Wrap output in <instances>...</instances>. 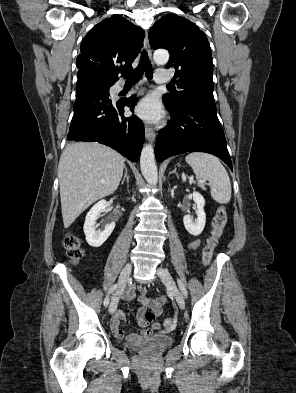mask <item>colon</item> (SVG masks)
Masks as SVG:
<instances>
[{
	"instance_id": "colon-1",
	"label": "colon",
	"mask_w": 296,
	"mask_h": 393,
	"mask_svg": "<svg viewBox=\"0 0 296 393\" xmlns=\"http://www.w3.org/2000/svg\"><path fill=\"white\" fill-rule=\"evenodd\" d=\"M227 223V212L225 207L219 206L216 210L215 217L212 222V230H211V235L208 238L207 244L203 249V262L205 264H209L213 255V252L223 235L225 226ZM64 246L67 250V254L70 259L74 261H78L83 253L80 248V241L79 239L74 236V235H67L64 239ZM139 313H141L142 318L148 322L152 323L155 320V313L150 311V310H144L142 305H139L138 307ZM164 326L168 330H172L176 326V321L174 319L168 318L164 321Z\"/></svg>"
}]
</instances>
